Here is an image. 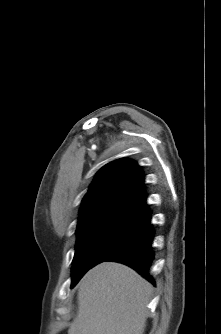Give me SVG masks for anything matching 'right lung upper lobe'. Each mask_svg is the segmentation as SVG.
Returning <instances> with one entry per match:
<instances>
[{"label":"right lung upper lobe","mask_w":221,"mask_h":334,"mask_svg":"<svg viewBox=\"0 0 221 334\" xmlns=\"http://www.w3.org/2000/svg\"><path fill=\"white\" fill-rule=\"evenodd\" d=\"M144 177L141 168L121 158L102 167L82 200L79 222L99 215H133L147 218Z\"/></svg>","instance_id":"right-lung-upper-lobe-1"}]
</instances>
